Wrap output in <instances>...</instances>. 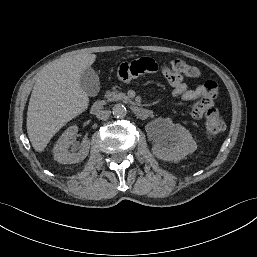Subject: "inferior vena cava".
I'll use <instances>...</instances> for the list:
<instances>
[{
  "label": "inferior vena cava",
  "instance_id": "602c4592",
  "mask_svg": "<svg viewBox=\"0 0 257 257\" xmlns=\"http://www.w3.org/2000/svg\"><path fill=\"white\" fill-rule=\"evenodd\" d=\"M111 112L108 110H99L96 114V117L100 120H107Z\"/></svg>",
  "mask_w": 257,
  "mask_h": 257
}]
</instances>
